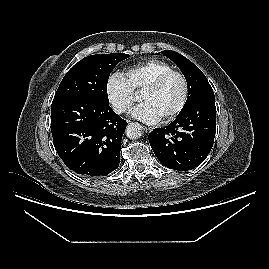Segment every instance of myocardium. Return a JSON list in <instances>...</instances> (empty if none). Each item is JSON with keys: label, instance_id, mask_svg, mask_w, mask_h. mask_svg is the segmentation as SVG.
Listing matches in <instances>:
<instances>
[{"label": "myocardium", "instance_id": "1", "mask_svg": "<svg viewBox=\"0 0 269 269\" xmlns=\"http://www.w3.org/2000/svg\"><path fill=\"white\" fill-rule=\"evenodd\" d=\"M179 76L183 82L184 85V94L182 97V100L180 101L179 105L172 110L170 113H168L166 116H164L163 118H161L162 122H168L170 120H172L173 118H175L176 116H178L185 108V106L187 105V102L189 100V96H190V84H189V80L187 78V76L178 70H171L168 71L162 75H160L159 77H157L154 81H152L150 84H148L143 90V92H155L157 90H159L162 85L172 76Z\"/></svg>", "mask_w": 269, "mask_h": 269}]
</instances>
